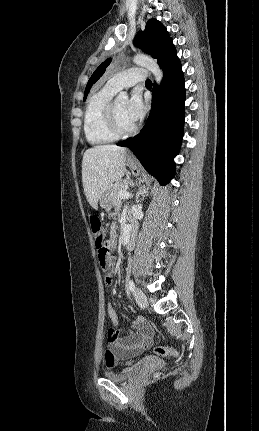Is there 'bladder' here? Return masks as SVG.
Returning a JSON list of instances; mask_svg holds the SVG:
<instances>
[{
  "instance_id": "1",
  "label": "bladder",
  "mask_w": 259,
  "mask_h": 431,
  "mask_svg": "<svg viewBox=\"0 0 259 431\" xmlns=\"http://www.w3.org/2000/svg\"><path fill=\"white\" fill-rule=\"evenodd\" d=\"M137 372V368H126L120 371H106L104 377L113 382H124Z\"/></svg>"
}]
</instances>
